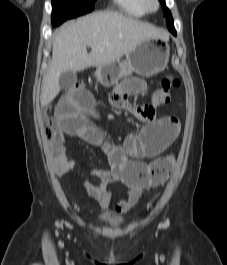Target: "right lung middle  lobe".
<instances>
[{"instance_id": "1", "label": "right lung middle lobe", "mask_w": 227, "mask_h": 265, "mask_svg": "<svg viewBox=\"0 0 227 265\" xmlns=\"http://www.w3.org/2000/svg\"><path fill=\"white\" fill-rule=\"evenodd\" d=\"M96 0H52V23L59 25L68 18L91 12Z\"/></svg>"}]
</instances>
